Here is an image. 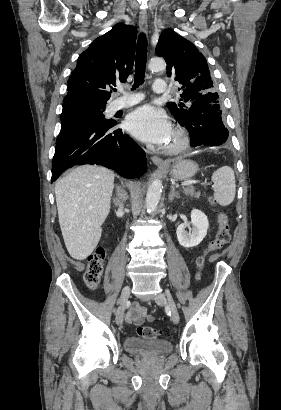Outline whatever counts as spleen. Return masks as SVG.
<instances>
[{
  "label": "spleen",
  "mask_w": 281,
  "mask_h": 410,
  "mask_svg": "<svg viewBox=\"0 0 281 410\" xmlns=\"http://www.w3.org/2000/svg\"><path fill=\"white\" fill-rule=\"evenodd\" d=\"M214 198L221 206H228L235 198L236 184L232 168L223 166L212 174Z\"/></svg>",
  "instance_id": "1"
}]
</instances>
